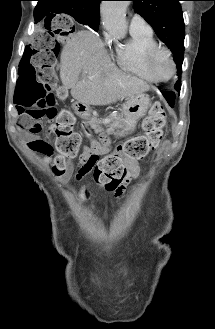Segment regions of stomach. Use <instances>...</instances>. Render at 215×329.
I'll return each instance as SVG.
<instances>
[{
  "label": "stomach",
  "mask_w": 215,
  "mask_h": 329,
  "mask_svg": "<svg viewBox=\"0 0 215 329\" xmlns=\"http://www.w3.org/2000/svg\"><path fill=\"white\" fill-rule=\"evenodd\" d=\"M150 107V98L146 94H137L126 99L123 104V123L121 127L117 128L114 135L122 137L132 133L136 127L137 122L146 115ZM74 112L83 117L88 118L91 113L89 105L75 102L72 106Z\"/></svg>",
  "instance_id": "stomach-1"
}]
</instances>
